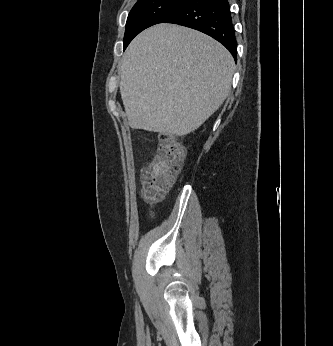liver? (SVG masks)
Listing matches in <instances>:
<instances>
[{"mask_svg":"<svg viewBox=\"0 0 333 346\" xmlns=\"http://www.w3.org/2000/svg\"><path fill=\"white\" fill-rule=\"evenodd\" d=\"M234 59L213 38L172 24L140 33L121 65L120 93L129 126L184 136L227 98Z\"/></svg>","mask_w":333,"mask_h":346,"instance_id":"liver-1","label":"liver"}]
</instances>
